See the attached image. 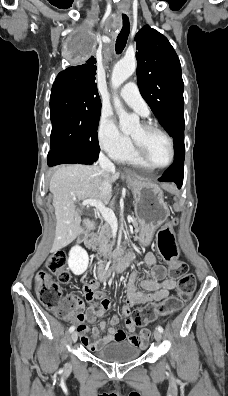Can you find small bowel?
<instances>
[{
    "mask_svg": "<svg viewBox=\"0 0 228 396\" xmlns=\"http://www.w3.org/2000/svg\"><path fill=\"white\" fill-rule=\"evenodd\" d=\"M129 257L133 259V255ZM143 263L151 268V277L150 279L140 280L141 289H138L137 272L130 275L126 285V305L121 309L122 316L128 317L131 307L136 304H150L166 299L170 291L176 286L175 280L167 277L166 268L157 264V258L153 252H148L144 256ZM103 278L104 276L100 274L98 278L89 279L83 284V293L86 300L88 302L97 301L98 308L80 311L76 316L81 343L91 351L113 341H127L138 347H144L149 338V331L141 329L138 334H135L136 326L131 320L127 319V333L124 329L118 327L120 321L118 315H113L109 321L102 320L98 326H94L91 329L94 336L92 340L86 335L89 330L86 322H94L101 318L110 307V301L106 298L105 293L99 289ZM100 332H104V335H100Z\"/></svg>",
    "mask_w": 228,
    "mask_h": 396,
    "instance_id": "c3829d8e",
    "label": "small bowel"
}]
</instances>
